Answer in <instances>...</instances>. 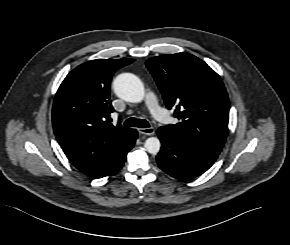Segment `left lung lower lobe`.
Returning <instances> with one entry per match:
<instances>
[{
	"label": "left lung lower lobe",
	"instance_id": "0a47b994",
	"mask_svg": "<svg viewBox=\"0 0 290 245\" xmlns=\"http://www.w3.org/2000/svg\"><path fill=\"white\" fill-rule=\"evenodd\" d=\"M157 133L162 143L156 156L158 166L174 178L190 180L203 174L219 155L185 142L163 127H160Z\"/></svg>",
	"mask_w": 290,
	"mask_h": 245
}]
</instances>
